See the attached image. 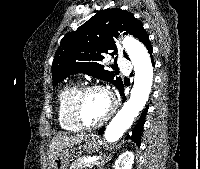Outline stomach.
I'll return each instance as SVG.
<instances>
[{
    "mask_svg": "<svg viewBox=\"0 0 200 169\" xmlns=\"http://www.w3.org/2000/svg\"><path fill=\"white\" fill-rule=\"evenodd\" d=\"M84 151L94 152L100 147V141L95 136L85 138L84 143L81 145ZM72 149L64 148L60 150L55 158L49 163L48 169H68V165L72 160Z\"/></svg>",
    "mask_w": 200,
    "mask_h": 169,
    "instance_id": "obj_1",
    "label": "stomach"
}]
</instances>
